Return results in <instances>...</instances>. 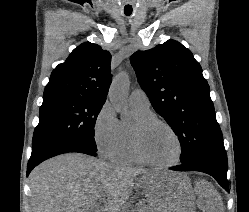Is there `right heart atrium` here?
<instances>
[{"instance_id": "obj_1", "label": "right heart atrium", "mask_w": 249, "mask_h": 212, "mask_svg": "<svg viewBox=\"0 0 249 212\" xmlns=\"http://www.w3.org/2000/svg\"><path fill=\"white\" fill-rule=\"evenodd\" d=\"M119 122L113 106L105 102L96 113L92 133L98 151L105 157L112 158L120 140Z\"/></svg>"}]
</instances>
